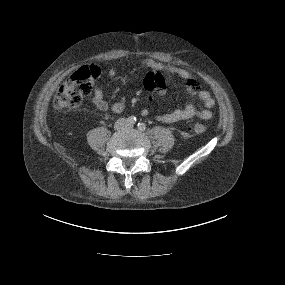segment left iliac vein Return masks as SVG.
Masks as SVG:
<instances>
[{
    "label": "left iliac vein",
    "mask_w": 285,
    "mask_h": 285,
    "mask_svg": "<svg viewBox=\"0 0 285 285\" xmlns=\"http://www.w3.org/2000/svg\"><path fill=\"white\" fill-rule=\"evenodd\" d=\"M127 127H128V128H132L133 126H132L131 124H130V125L128 124V126H127Z\"/></svg>",
    "instance_id": "obj_1"
}]
</instances>
